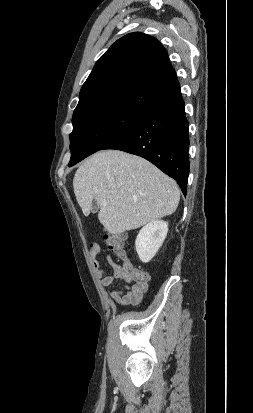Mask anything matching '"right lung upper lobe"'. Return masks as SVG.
<instances>
[{
  "label": "right lung upper lobe",
  "mask_w": 253,
  "mask_h": 413,
  "mask_svg": "<svg viewBox=\"0 0 253 413\" xmlns=\"http://www.w3.org/2000/svg\"><path fill=\"white\" fill-rule=\"evenodd\" d=\"M182 97L166 49L147 34L117 40L83 84L73 122L97 113L129 110L148 114Z\"/></svg>",
  "instance_id": "right-lung-upper-lobe-1"
}]
</instances>
